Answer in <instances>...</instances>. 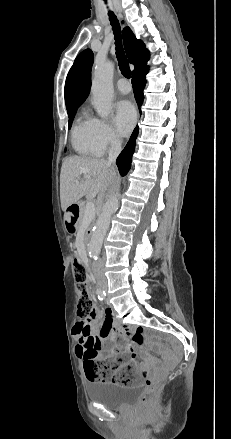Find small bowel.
Listing matches in <instances>:
<instances>
[{
  "label": "small bowel",
  "mask_w": 231,
  "mask_h": 439,
  "mask_svg": "<svg viewBox=\"0 0 231 439\" xmlns=\"http://www.w3.org/2000/svg\"><path fill=\"white\" fill-rule=\"evenodd\" d=\"M89 294L93 297L91 285ZM100 309L95 307L92 314L87 320H78L73 328V334L77 339L76 355L84 359V355L88 350L95 354H100L105 358L112 357V347L117 340L125 343V348L119 357L120 365L132 366L138 370V364L141 365L140 370L143 375L148 374L146 368L147 360L139 363L138 348L143 344L144 338L140 330L122 329L115 325L113 313L111 309L105 311V321L98 324L100 317ZM97 331L96 333H94Z\"/></svg>",
  "instance_id": "c3829d8e"
}]
</instances>
